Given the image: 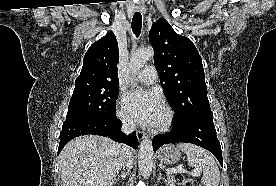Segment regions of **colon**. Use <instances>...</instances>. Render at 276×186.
Returning <instances> with one entry per match:
<instances>
[{"label": "colon", "instance_id": "colon-1", "mask_svg": "<svg viewBox=\"0 0 276 186\" xmlns=\"http://www.w3.org/2000/svg\"><path fill=\"white\" fill-rule=\"evenodd\" d=\"M180 186H199L196 182L188 179H179Z\"/></svg>", "mask_w": 276, "mask_h": 186}]
</instances>
